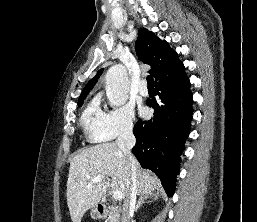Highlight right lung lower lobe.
<instances>
[{
  "label": "right lung lower lobe",
  "instance_id": "1",
  "mask_svg": "<svg viewBox=\"0 0 257 222\" xmlns=\"http://www.w3.org/2000/svg\"><path fill=\"white\" fill-rule=\"evenodd\" d=\"M155 87L158 99L147 101L155 109L154 116L135 124L136 145L132 153L143 168L160 178L167 195L172 196L180 155L190 133L193 99L185 72L156 81Z\"/></svg>",
  "mask_w": 257,
  "mask_h": 222
}]
</instances>
